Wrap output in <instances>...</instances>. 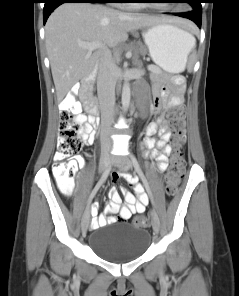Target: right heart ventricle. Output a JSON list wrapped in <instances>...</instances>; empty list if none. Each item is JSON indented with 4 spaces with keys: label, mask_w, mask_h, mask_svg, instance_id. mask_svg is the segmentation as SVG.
<instances>
[{
    "label": "right heart ventricle",
    "mask_w": 239,
    "mask_h": 296,
    "mask_svg": "<svg viewBox=\"0 0 239 296\" xmlns=\"http://www.w3.org/2000/svg\"><path fill=\"white\" fill-rule=\"evenodd\" d=\"M121 6L122 7H126L127 6V3H122Z\"/></svg>",
    "instance_id": "right-heart-ventricle-1"
}]
</instances>
